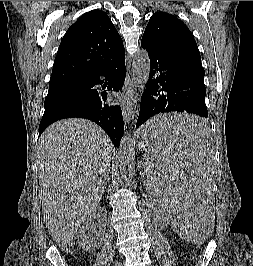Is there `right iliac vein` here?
Returning <instances> with one entry per match:
<instances>
[{"instance_id": "1", "label": "right iliac vein", "mask_w": 253, "mask_h": 266, "mask_svg": "<svg viewBox=\"0 0 253 266\" xmlns=\"http://www.w3.org/2000/svg\"><path fill=\"white\" fill-rule=\"evenodd\" d=\"M114 266H122L120 262H117Z\"/></svg>"}]
</instances>
